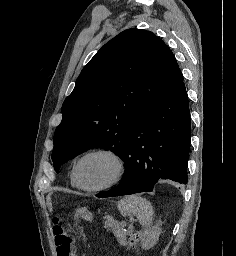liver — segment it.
Here are the masks:
<instances>
[{
    "label": "liver",
    "instance_id": "1",
    "mask_svg": "<svg viewBox=\"0 0 236 256\" xmlns=\"http://www.w3.org/2000/svg\"><path fill=\"white\" fill-rule=\"evenodd\" d=\"M47 202H48V206H49V210H50V212H53V210H52V206H51V204H50V196H48V198H47Z\"/></svg>",
    "mask_w": 236,
    "mask_h": 256
}]
</instances>
